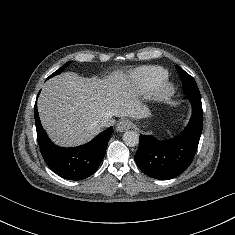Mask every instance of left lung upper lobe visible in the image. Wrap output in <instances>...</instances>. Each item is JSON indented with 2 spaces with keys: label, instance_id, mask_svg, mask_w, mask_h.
<instances>
[{
  "label": "left lung upper lobe",
  "instance_id": "obj_1",
  "mask_svg": "<svg viewBox=\"0 0 235 235\" xmlns=\"http://www.w3.org/2000/svg\"><path fill=\"white\" fill-rule=\"evenodd\" d=\"M177 70H178V73L180 75L182 82L189 81V84H191V87H192L194 93L200 95V92H199V89L197 87L195 80L179 66H177Z\"/></svg>",
  "mask_w": 235,
  "mask_h": 235
}]
</instances>
